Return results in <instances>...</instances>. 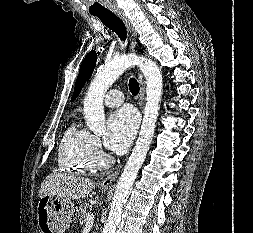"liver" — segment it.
I'll use <instances>...</instances> for the list:
<instances>
[{"label":"liver","instance_id":"liver-1","mask_svg":"<svg viewBox=\"0 0 253 233\" xmlns=\"http://www.w3.org/2000/svg\"><path fill=\"white\" fill-rule=\"evenodd\" d=\"M93 188L94 183L87 178L53 172L42 182L39 197L56 195L67 199H81Z\"/></svg>","mask_w":253,"mask_h":233}]
</instances>
